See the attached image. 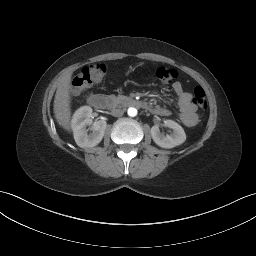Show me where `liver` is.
Returning a JSON list of instances; mask_svg holds the SVG:
<instances>
[{"label":"liver","mask_w":256,"mask_h":256,"mask_svg":"<svg viewBox=\"0 0 256 256\" xmlns=\"http://www.w3.org/2000/svg\"><path fill=\"white\" fill-rule=\"evenodd\" d=\"M72 72L65 74L58 85L54 99V114L58 124L65 130L71 129L70 83Z\"/></svg>","instance_id":"1"}]
</instances>
